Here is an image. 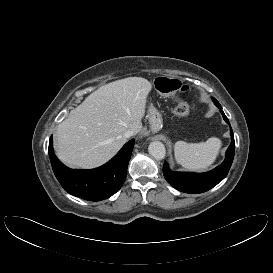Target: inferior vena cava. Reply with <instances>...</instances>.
I'll list each match as a JSON object with an SVG mask.
<instances>
[{
	"label": "inferior vena cava",
	"instance_id": "inferior-vena-cava-1",
	"mask_svg": "<svg viewBox=\"0 0 273 273\" xmlns=\"http://www.w3.org/2000/svg\"><path fill=\"white\" fill-rule=\"evenodd\" d=\"M133 135H135V132H134V130H132V129H129V130H127V131L124 133V137H125V138H130V137L133 136Z\"/></svg>",
	"mask_w": 273,
	"mask_h": 273
}]
</instances>
